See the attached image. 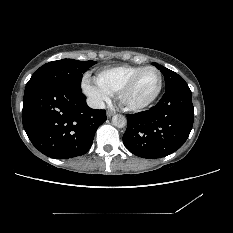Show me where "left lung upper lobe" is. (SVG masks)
I'll return each instance as SVG.
<instances>
[{
	"label": "left lung upper lobe",
	"instance_id": "1",
	"mask_svg": "<svg viewBox=\"0 0 233 233\" xmlns=\"http://www.w3.org/2000/svg\"><path fill=\"white\" fill-rule=\"evenodd\" d=\"M153 65L156 66L158 69H160V71L164 75L166 90L172 88L173 86H175L179 83L185 82V80L180 75L173 72L172 70L167 69L162 65H158L157 63H153Z\"/></svg>",
	"mask_w": 233,
	"mask_h": 233
}]
</instances>
